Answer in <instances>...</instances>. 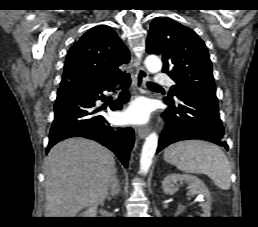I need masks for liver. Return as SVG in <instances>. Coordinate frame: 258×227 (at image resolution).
<instances>
[{"mask_svg":"<svg viewBox=\"0 0 258 227\" xmlns=\"http://www.w3.org/2000/svg\"><path fill=\"white\" fill-rule=\"evenodd\" d=\"M115 170L112 153L85 138L56 144L44 161L45 217H75L108 197Z\"/></svg>","mask_w":258,"mask_h":227,"instance_id":"liver-1","label":"liver"}]
</instances>
